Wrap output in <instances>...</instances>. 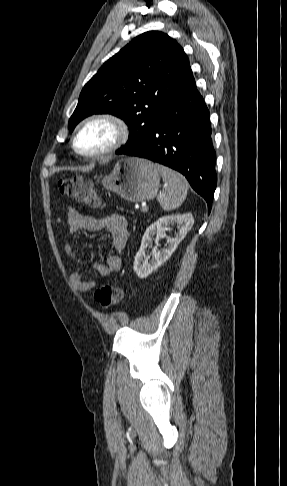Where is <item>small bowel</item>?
Here are the masks:
<instances>
[{
	"label": "small bowel",
	"mask_w": 287,
	"mask_h": 486,
	"mask_svg": "<svg viewBox=\"0 0 287 486\" xmlns=\"http://www.w3.org/2000/svg\"><path fill=\"white\" fill-rule=\"evenodd\" d=\"M68 237L64 240L63 248L67 262L70 266L69 280L71 285L79 292H87L97 286L95 279L84 280L82 275L74 269L76 250L73 245L72 236L80 231L99 232L104 231L110 238L113 253L110 254L105 263H95L94 269L102 277L121 269L122 261L120 255L126 247L129 232L126 219L118 214H111L101 218L84 215L74 208L67 209Z\"/></svg>",
	"instance_id": "small-bowel-1"
}]
</instances>
